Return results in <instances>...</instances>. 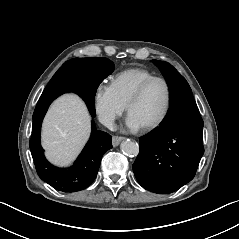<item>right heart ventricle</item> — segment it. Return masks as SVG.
Segmentation results:
<instances>
[{"label": "right heart ventricle", "instance_id": "obj_1", "mask_svg": "<svg viewBox=\"0 0 239 239\" xmlns=\"http://www.w3.org/2000/svg\"><path fill=\"white\" fill-rule=\"evenodd\" d=\"M154 74L140 67H132L117 72L111 78V86L119 100L127 106V103L134 91Z\"/></svg>", "mask_w": 239, "mask_h": 239}]
</instances>
